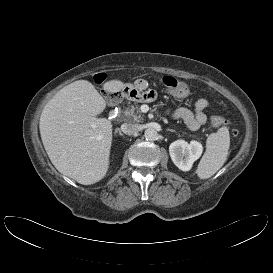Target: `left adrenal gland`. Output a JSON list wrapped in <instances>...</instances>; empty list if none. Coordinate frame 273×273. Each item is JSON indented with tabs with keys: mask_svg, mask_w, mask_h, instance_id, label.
Segmentation results:
<instances>
[{
	"mask_svg": "<svg viewBox=\"0 0 273 273\" xmlns=\"http://www.w3.org/2000/svg\"><path fill=\"white\" fill-rule=\"evenodd\" d=\"M167 131H170V132H175L174 130H172V129H167Z\"/></svg>",
	"mask_w": 273,
	"mask_h": 273,
	"instance_id": "left-adrenal-gland-1",
	"label": "left adrenal gland"
}]
</instances>
